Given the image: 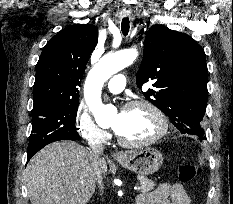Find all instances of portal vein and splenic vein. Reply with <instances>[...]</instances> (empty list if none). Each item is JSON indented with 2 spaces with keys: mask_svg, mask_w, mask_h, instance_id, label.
Wrapping results in <instances>:
<instances>
[{
  "mask_svg": "<svg viewBox=\"0 0 233 204\" xmlns=\"http://www.w3.org/2000/svg\"><path fill=\"white\" fill-rule=\"evenodd\" d=\"M136 190L138 191V190H139V187H137Z\"/></svg>",
  "mask_w": 233,
  "mask_h": 204,
  "instance_id": "1",
  "label": "portal vein and splenic vein"
}]
</instances>
